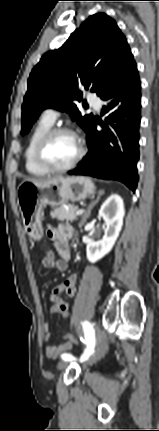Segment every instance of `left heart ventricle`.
<instances>
[{
  "label": "left heart ventricle",
  "mask_w": 159,
  "mask_h": 431,
  "mask_svg": "<svg viewBox=\"0 0 159 431\" xmlns=\"http://www.w3.org/2000/svg\"><path fill=\"white\" fill-rule=\"evenodd\" d=\"M78 152V143L70 134L55 136L46 148V158L54 166H65L69 164Z\"/></svg>",
  "instance_id": "obj_1"
}]
</instances>
